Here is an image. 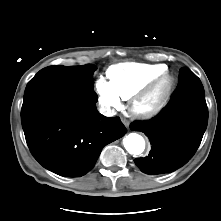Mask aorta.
I'll return each mask as SVG.
<instances>
[{
    "mask_svg": "<svg viewBox=\"0 0 221 221\" xmlns=\"http://www.w3.org/2000/svg\"><path fill=\"white\" fill-rule=\"evenodd\" d=\"M123 144L128 153L139 155L145 149L144 138L137 133H130L123 139Z\"/></svg>",
    "mask_w": 221,
    "mask_h": 221,
    "instance_id": "obj_1",
    "label": "aorta"
}]
</instances>
